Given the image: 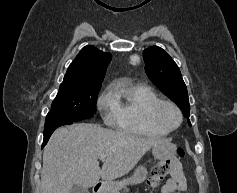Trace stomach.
I'll list each match as a JSON object with an SVG mask.
<instances>
[{
	"label": "stomach",
	"mask_w": 237,
	"mask_h": 193,
	"mask_svg": "<svg viewBox=\"0 0 237 193\" xmlns=\"http://www.w3.org/2000/svg\"><path fill=\"white\" fill-rule=\"evenodd\" d=\"M152 154L156 159L164 160L171 157L174 154V146L167 142L162 141L152 147ZM147 169L145 166H139L133 176L126 180L120 182H108L105 183L100 193H120V191L125 187V185L131 184H140L147 177Z\"/></svg>",
	"instance_id": "stomach-1"
}]
</instances>
